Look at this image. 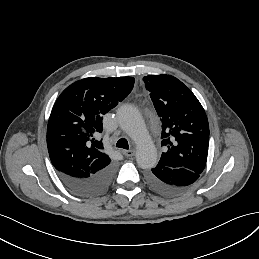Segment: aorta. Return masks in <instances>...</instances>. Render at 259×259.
<instances>
[{
    "label": "aorta",
    "instance_id": "aorta-1",
    "mask_svg": "<svg viewBox=\"0 0 259 259\" xmlns=\"http://www.w3.org/2000/svg\"><path fill=\"white\" fill-rule=\"evenodd\" d=\"M122 129L136 144V161L140 168L150 169L158 161L157 150L146 129L140 112L132 105H123L117 111Z\"/></svg>",
    "mask_w": 259,
    "mask_h": 259
}]
</instances>
